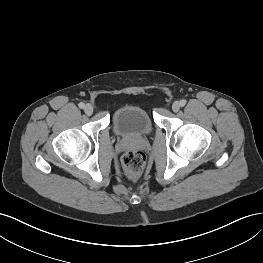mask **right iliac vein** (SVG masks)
<instances>
[{
	"label": "right iliac vein",
	"instance_id": "63e3f726",
	"mask_svg": "<svg viewBox=\"0 0 263 263\" xmlns=\"http://www.w3.org/2000/svg\"><path fill=\"white\" fill-rule=\"evenodd\" d=\"M84 112L87 114V115H91L93 113V106L91 104H87L85 107H84Z\"/></svg>",
	"mask_w": 263,
	"mask_h": 263
}]
</instances>
